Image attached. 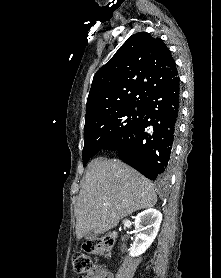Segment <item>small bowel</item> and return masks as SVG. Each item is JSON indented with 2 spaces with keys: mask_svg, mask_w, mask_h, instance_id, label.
I'll use <instances>...</instances> for the list:
<instances>
[{
  "mask_svg": "<svg viewBox=\"0 0 221 278\" xmlns=\"http://www.w3.org/2000/svg\"><path fill=\"white\" fill-rule=\"evenodd\" d=\"M85 278H114V277L111 271L102 268H97L96 272L92 276L85 277Z\"/></svg>",
  "mask_w": 221,
  "mask_h": 278,
  "instance_id": "obj_1",
  "label": "small bowel"
}]
</instances>
